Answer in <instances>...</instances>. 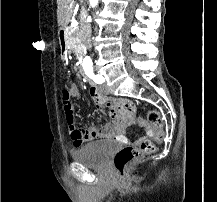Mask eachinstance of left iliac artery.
<instances>
[{
	"label": "left iliac artery",
	"instance_id": "obj_1",
	"mask_svg": "<svg viewBox=\"0 0 217 202\" xmlns=\"http://www.w3.org/2000/svg\"><path fill=\"white\" fill-rule=\"evenodd\" d=\"M90 78L93 79L97 84H102L104 82V78L102 76L95 75L92 70Z\"/></svg>",
	"mask_w": 217,
	"mask_h": 202
}]
</instances>
